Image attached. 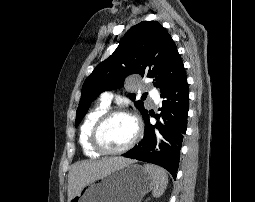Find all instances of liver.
<instances>
[{"mask_svg":"<svg viewBox=\"0 0 255 202\" xmlns=\"http://www.w3.org/2000/svg\"><path fill=\"white\" fill-rule=\"evenodd\" d=\"M131 163H133L131 159L124 157H109L97 161L75 163L68 175V202L91 181Z\"/></svg>","mask_w":255,"mask_h":202,"instance_id":"6515ba94","label":"liver"}]
</instances>
